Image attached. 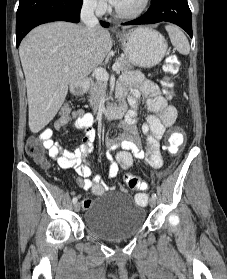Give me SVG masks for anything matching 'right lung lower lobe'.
<instances>
[{
    "mask_svg": "<svg viewBox=\"0 0 227 279\" xmlns=\"http://www.w3.org/2000/svg\"><path fill=\"white\" fill-rule=\"evenodd\" d=\"M82 0H19L16 15V45L34 27L52 21H80ZM103 27L109 23L100 21Z\"/></svg>",
    "mask_w": 227,
    "mask_h": 279,
    "instance_id": "98d812e1",
    "label": "right lung lower lobe"
}]
</instances>
